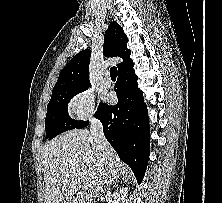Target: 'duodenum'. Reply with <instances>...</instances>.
I'll return each mask as SVG.
<instances>
[{"instance_id":"obj_1","label":"duodenum","mask_w":222,"mask_h":203,"mask_svg":"<svg viewBox=\"0 0 222 203\" xmlns=\"http://www.w3.org/2000/svg\"><path fill=\"white\" fill-rule=\"evenodd\" d=\"M80 200L82 203H91V201L84 195H80Z\"/></svg>"}]
</instances>
